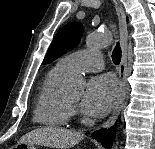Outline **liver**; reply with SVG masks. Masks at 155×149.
I'll return each instance as SVG.
<instances>
[{
	"label": "liver",
	"mask_w": 155,
	"mask_h": 149,
	"mask_svg": "<svg viewBox=\"0 0 155 149\" xmlns=\"http://www.w3.org/2000/svg\"><path fill=\"white\" fill-rule=\"evenodd\" d=\"M83 139V134L58 127L35 129L22 136L18 143L43 145L57 149H70Z\"/></svg>",
	"instance_id": "liver-1"
}]
</instances>
